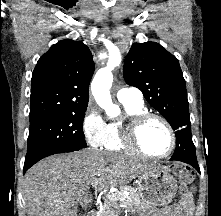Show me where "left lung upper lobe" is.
Wrapping results in <instances>:
<instances>
[{"instance_id":"5c2ea615","label":"left lung upper lobe","mask_w":221,"mask_h":216,"mask_svg":"<svg viewBox=\"0 0 221 216\" xmlns=\"http://www.w3.org/2000/svg\"><path fill=\"white\" fill-rule=\"evenodd\" d=\"M128 85L140 89L149 104L176 131V144L195 150L185 80L177 58L155 42L132 45L123 67Z\"/></svg>"}]
</instances>
